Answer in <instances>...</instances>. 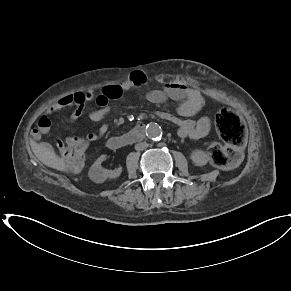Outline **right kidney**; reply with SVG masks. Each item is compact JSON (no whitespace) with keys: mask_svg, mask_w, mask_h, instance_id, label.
Returning a JSON list of instances; mask_svg holds the SVG:
<instances>
[{"mask_svg":"<svg viewBox=\"0 0 291 291\" xmlns=\"http://www.w3.org/2000/svg\"><path fill=\"white\" fill-rule=\"evenodd\" d=\"M106 159L105 155L100 156L89 170V177L95 183H102L107 178H116L121 174V168L116 170H107L101 167L102 161Z\"/></svg>","mask_w":291,"mask_h":291,"instance_id":"1","label":"right kidney"}]
</instances>
